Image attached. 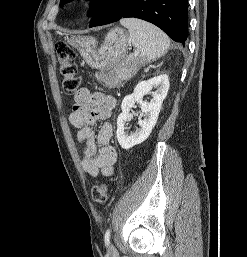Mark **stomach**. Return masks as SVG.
I'll return each instance as SVG.
<instances>
[{
  "mask_svg": "<svg viewBox=\"0 0 247 257\" xmlns=\"http://www.w3.org/2000/svg\"><path fill=\"white\" fill-rule=\"evenodd\" d=\"M69 43L78 49L83 60L92 68L102 69L115 63L116 83L128 79L136 70L138 60L128 59V35L122 28L112 29L102 43L92 36H78Z\"/></svg>",
  "mask_w": 247,
  "mask_h": 257,
  "instance_id": "obj_1",
  "label": "stomach"
}]
</instances>
